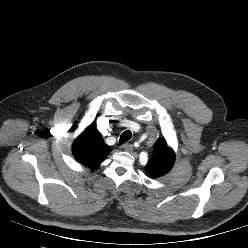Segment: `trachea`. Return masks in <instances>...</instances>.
Here are the masks:
<instances>
[{
	"instance_id": "3493384b",
	"label": "trachea",
	"mask_w": 248,
	"mask_h": 248,
	"mask_svg": "<svg viewBox=\"0 0 248 248\" xmlns=\"http://www.w3.org/2000/svg\"><path fill=\"white\" fill-rule=\"evenodd\" d=\"M132 137V133L130 130H126L124 131L121 136H120V139H119V144L122 145L124 143H126L128 140H130Z\"/></svg>"
}]
</instances>
